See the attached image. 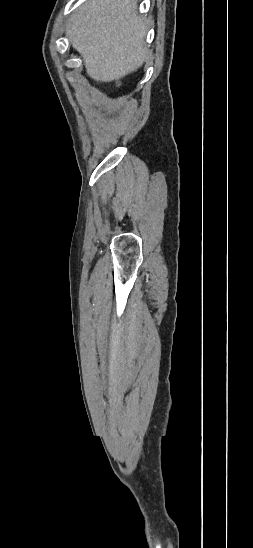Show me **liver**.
<instances>
[{"label": "liver", "mask_w": 253, "mask_h": 548, "mask_svg": "<svg viewBox=\"0 0 253 548\" xmlns=\"http://www.w3.org/2000/svg\"><path fill=\"white\" fill-rule=\"evenodd\" d=\"M146 33L135 0H88L66 31L87 74L100 82L121 79L143 65L148 56Z\"/></svg>", "instance_id": "liver-1"}]
</instances>
